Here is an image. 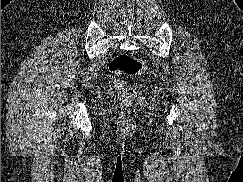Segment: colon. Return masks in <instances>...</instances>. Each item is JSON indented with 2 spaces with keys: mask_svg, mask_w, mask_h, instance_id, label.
Segmentation results:
<instances>
[{
  "mask_svg": "<svg viewBox=\"0 0 243 182\" xmlns=\"http://www.w3.org/2000/svg\"><path fill=\"white\" fill-rule=\"evenodd\" d=\"M145 69L146 65L141 59L126 53L118 54L109 64V70L114 75L113 88L125 98L137 97L136 89L127 84L121 77L138 75L143 73Z\"/></svg>",
  "mask_w": 243,
  "mask_h": 182,
  "instance_id": "5ec220e1",
  "label": "colon"
}]
</instances>
